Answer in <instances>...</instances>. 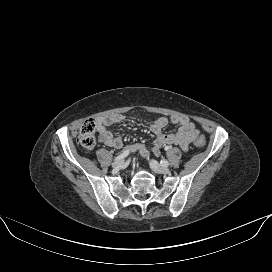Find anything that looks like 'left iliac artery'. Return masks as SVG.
Listing matches in <instances>:
<instances>
[{"label": "left iliac artery", "mask_w": 272, "mask_h": 272, "mask_svg": "<svg viewBox=\"0 0 272 272\" xmlns=\"http://www.w3.org/2000/svg\"><path fill=\"white\" fill-rule=\"evenodd\" d=\"M163 166H168L169 165V162L167 161V160H165V159H163V160H161V162H160Z\"/></svg>", "instance_id": "obj_1"}]
</instances>
